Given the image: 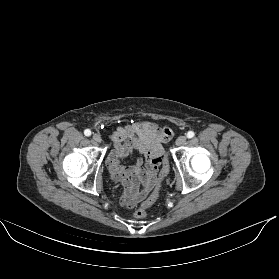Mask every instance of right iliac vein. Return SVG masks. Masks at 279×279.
Instances as JSON below:
<instances>
[{
  "mask_svg": "<svg viewBox=\"0 0 279 279\" xmlns=\"http://www.w3.org/2000/svg\"><path fill=\"white\" fill-rule=\"evenodd\" d=\"M92 138H93V140H94L95 142H97V143H101V141H102V138H101V136H100L99 134H94V135L92 136Z\"/></svg>",
  "mask_w": 279,
  "mask_h": 279,
  "instance_id": "right-iliac-vein-1",
  "label": "right iliac vein"
}]
</instances>
